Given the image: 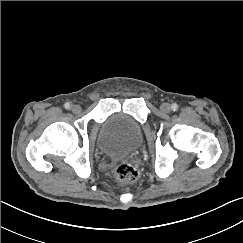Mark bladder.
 Returning a JSON list of instances; mask_svg holds the SVG:
<instances>
[{
  "mask_svg": "<svg viewBox=\"0 0 243 243\" xmlns=\"http://www.w3.org/2000/svg\"><path fill=\"white\" fill-rule=\"evenodd\" d=\"M143 142L141 125L131 116L114 113L100 126L97 148L104 155L121 159L137 150Z\"/></svg>",
  "mask_w": 243,
  "mask_h": 243,
  "instance_id": "31cf9c89",
  "label": "bladder"
}]
</instances>
